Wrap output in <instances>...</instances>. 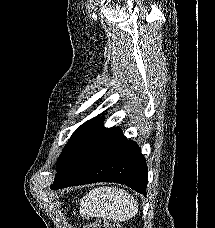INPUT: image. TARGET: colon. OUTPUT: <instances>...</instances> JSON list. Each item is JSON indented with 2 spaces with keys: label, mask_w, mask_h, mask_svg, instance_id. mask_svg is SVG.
<instances>
[{
  "label": "colon",
  "mask_w": 215,
  "mask_h": 228,
  "mask_svg": "<svg viewBox=\"0 0 215 228\" xmlns=\"http://www.w3.org/2000/svg\"><path fill=\"white\" fill-rule=\"evenodd\" d=\"M85 228H119L118 223L111 218L101 219L96 225H85Z\"/></svg>",
  "instance_id": "obj_1"
}]
</instances>
